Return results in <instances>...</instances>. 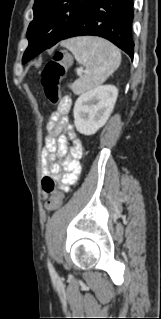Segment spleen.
<instances>
[{
	"mask_svg": "<svg viewBox=\"0 0 161 319\" xmlns=\"http://www.w3.org/2000/svg\"><path fill=\"white\" fill-rule=\"evenodd\" d=\"M62 45L86 67L85 74L70 85L76 95L100 86L121 63L119 49L99 37H76L64 41Z\"/></svg>",
	"mask_w": 161,
	"mask_h": 319,
	"instance_id": "spleen-1",
	"label": "spleen"
}]
</instances>
